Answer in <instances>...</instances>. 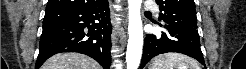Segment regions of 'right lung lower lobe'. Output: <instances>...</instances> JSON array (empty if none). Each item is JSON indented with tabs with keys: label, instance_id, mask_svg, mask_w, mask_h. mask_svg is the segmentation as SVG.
I'll list each match as a JSON object with an SVG mask.
<instances>
[{
	"label": "right lung lower lobe",
	"instance_id": "1",
	"mask_svg": "<svg viewBox=\"0 0 246 69\" xmlns=\"http://www.w3.org/2000/svg\"><path fill=\"white\" fill-rule=\"evenodd\" d=\"M111 23L108 1L88 7L46 10L35 69L59 52H79L110 67Z\"/></svg>",
	"mask_w": 246,
	"mask_h": 69
}]
</instances>
